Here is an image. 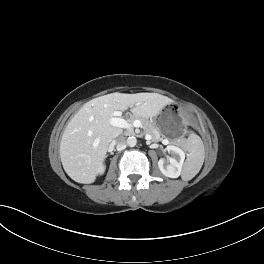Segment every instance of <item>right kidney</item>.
<instances>
[{"label": "right kidney", "mask_w": 264, "mask_h": 264, "mask_svg": "<svg viewBox=\"0 0 264 264\" xmlns=\"http://www.w3.org/2000/svg\"><path fill=\"white\" fill-rule=\"evenodd\" d=\"M104 170H105V167L104 166H101L100 169H99V173L100 174H103Z\"/></svg>", "instance_id": "obj_1"}]
</instances>
